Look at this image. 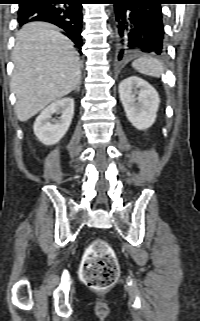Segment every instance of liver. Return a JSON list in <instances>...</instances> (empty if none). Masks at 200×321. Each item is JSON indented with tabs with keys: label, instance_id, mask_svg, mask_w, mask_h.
Here are the masks:
<instances>
[{
	"label": "liver",
	"instance_id": "1",
	"mask_svg": "<svg viewBox=\"0 0 200 321\" xmlns=\"http://www.w3.org/2000/svg\"><path fill=\"white\" fill-rule=\"evenodd\" d=\"M11 89L16 115L25 122L81 82L80 59L73 43L48 23L32 22L16 35Z\"/></svg>",
	"mask_w": 200,
	"mask_h": 321
}]
</instances>
